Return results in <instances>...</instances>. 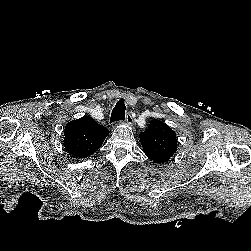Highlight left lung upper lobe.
<instances>
[{
	"mask_svg": "<svg viewBox=\"0 0 251 251\" xmlns=\"http://www.w3.org/2000/svg\"><path fill=\"white\" fill-rule=\"evenodd\" d=\"M139 137L145 154L155 163H165L177 150L175 131L160 120L152 121Z\"/></svg>",
	"mask_w": 251,
	"mask_h": 251,
	"instance_id": "left-lung-upper-lobe-1",
	"label": "left lung upper lobe"
}]
</instances>
